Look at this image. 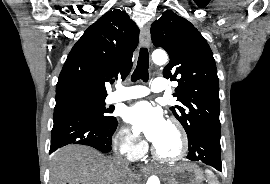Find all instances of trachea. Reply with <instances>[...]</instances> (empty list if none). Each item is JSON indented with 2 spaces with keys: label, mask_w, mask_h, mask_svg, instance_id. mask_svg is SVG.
I'll list each match as a JSON object with an SVG mask.
<instances>
[{
  "label": "trachea",
  "mask_w": 270,
  "mask_h": 184,
  "mask_svg": "<svg viewBox=\"0 0 270 184\" xmlns=\"http://www.w3.org/2000/svg\"><path fill=\"white\" fill-rule=\"evenodd\" d=\"M148 67L149 55L148 50L144 47L140 49L137 66L132 74L131 80L135 82L139 79H142L144 82H147L149 78Z\"/></svg>",
  "instance_id": "trachea-1"
}]
</instances>
